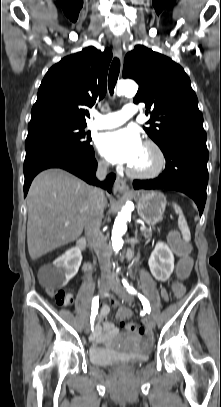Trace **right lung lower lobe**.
Instances as JSON below:
<instances>
[{"label":"right lung lower lobe","mask_w":221,"mask_h":407,"mask_svg":"<svg viewBox=\"0 0 221 407\" xmlns=\"http://www.w3.org/2000/svg\"><path fill=\"white\" fill-rule=\"evenodd\" d=\"M48 168H62L85 180L89 184L100 186L112 191L116 178L109 174L104 182L96 179L97 162L94 151L83 155L74 149L54 142H37L26 148L24 161V197L27 195L33 178L42 170Z\"/></svg>","instance_id":"right-lung-lower-lobe-1"}]
</instances>
